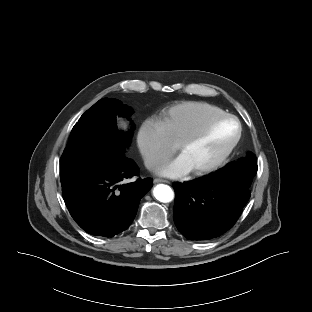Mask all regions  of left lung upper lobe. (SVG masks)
Returning a JSON list of instances; mask_svg holds the SVG:
<instances>
[{"label": "left lung upper lobe", "instance_id": "1", "mask_svg": "<svg viewBox=\"0 0 312 312\" xmlns=\"http://www.w3.org/2000/svg\"><path fill=\"white\" fill-rule=\"evenodd\" d=\"M218 172L231 176L234 180L244 185L246 189H250L253 177L257 172L256 156L249 152L246 158L232 162Z\"/></svg>", "mask_w": 312, "mask_h": 312}]
</instances>
